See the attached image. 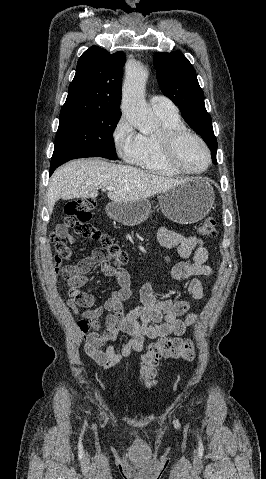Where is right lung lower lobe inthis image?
I'll return each instance as SVG.
<instances>
[{
  "instance_id": "obj_1",
  "label": "right lung lower lobe",
  "mask_w": 266,
  "mask_h": 479,
  "mask_svg": "<svg viewBox=\"0 0 266 479\" xmlns=\"http://www.w3.org/2000/svg\"><path fill=\"white\" fill-rule=\"evenodd\" d=\"M72 158L70 157H65V156H56V157H52L51 159V165H50V175L54 172V170L64 164L65 162H68L69 160H71Z\"/></svg>"
}]
</instances>
